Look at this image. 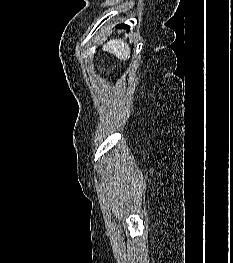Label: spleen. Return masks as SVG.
<instances>
[{
  "mask_svg": "<svg viewBox=\"0 0 233 263\" xmlns=\"http://www.w3.org/2000/svg\"><path fill=\"white\" fill-rule=\"evenodd\" d=\"M103 51L115 55L119 60L130 58V47L123 39H112L103 46Z\"/></svg>",
  "mask_w": 233,
  "mask_h": 263,
  "instance_id": "1",
  "label": "spleen"
}]
</instances>
